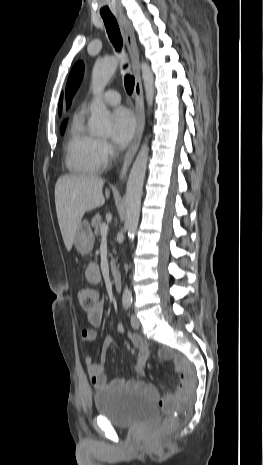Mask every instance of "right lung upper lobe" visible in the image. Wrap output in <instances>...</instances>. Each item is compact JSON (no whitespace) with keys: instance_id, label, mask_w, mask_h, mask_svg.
<instances>
[{"instance_id":"right-lung-upper-lobe-1","label":"right lung upper lobe","mask_w":263,"mask_h":465,"mask_svg":"<svg viewBox=\"0 0 263 465\" xmlns=\"http://www.w3.org/2000/svg\"><path fill=\"white\" fill-rule=\"evenodd\" d=\"M61 112H62V95H61L60 102H59V115H61Z\"/></svg>"}]
</instances>
